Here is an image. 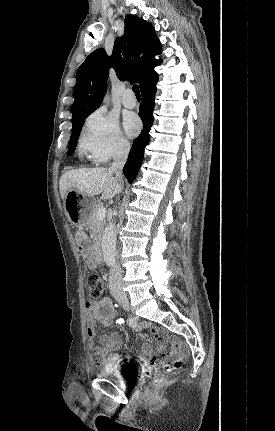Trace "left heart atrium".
Wrapping results in <instances>:
<instances>
[{"mask_svg": "<svg viewBox=\"0 0 275 431\" xmlns=\"http://www.w3.org/2000/svg\"><path fill=\"white\" fill-rule=\"evenodd\" d=\"M141 121L135 114H128L124 118V127L131 137L136 136L141 130Z\"/></svg>", "mask_w": 275, "mask_h": 431, "instance_id": "left-heart-atrium-1", "label": "left heart atrium"}]
</instances>
